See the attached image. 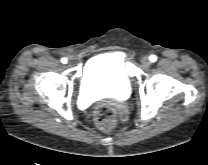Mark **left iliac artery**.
Instances as JSON below:
<instances>
[{
	"label": "left iliac artery",
	"mask_w": 208,
	"mask_h": 165,
	"mask_svg": "<svg viewBox=\"0 0 208 165\" xmlns=\"http://www.w3.org/2000/svg\"><path fill=\"white\" fill-rule=\"evenodd\" d=\"M149 59L151 62H155L157 60V57L155 55H151Z\"/></svg>",
	"instance_id": "left-iliac-artery-1"
}]
</instances>
